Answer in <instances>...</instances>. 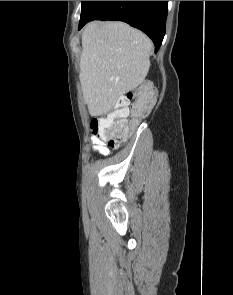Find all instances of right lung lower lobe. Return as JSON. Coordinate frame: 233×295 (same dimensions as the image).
I'll return each instance as SVG.
<instances>
[{"mask_svg":"<svg viewBox=\"0 0 233 295\" xmlns=\"http://www.w3.org/2000/svg\"><path fill=\"white\" fill-rule=\"evenodd\" d=\"M168 1H90L81 15L79 29L91 20H120L145 32L161 46L165 35Z\"/></svg>","mask_w":233,"mask_h":295,"instance_id":"obj_1","label":"right lung lower lobe"}]
</instances>
